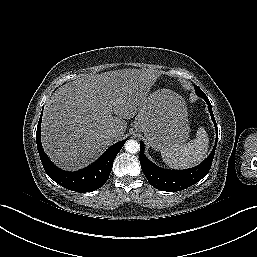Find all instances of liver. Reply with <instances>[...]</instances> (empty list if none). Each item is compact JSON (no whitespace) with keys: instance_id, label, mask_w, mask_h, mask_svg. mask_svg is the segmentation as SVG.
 <instances>
[{"instance_id":"liver-1","label":"liver","mask_w":257,"mask_h":257,"mask_svg":"<svg viewBox=\"0 0 257 257\" xmlns=\"http://www.w3.org/2000/svg\"><path fill=\"white\" fill-rule=\"evenodd\" d=\"M152 70L121 69L88 75L59 87L46 102L42 145L54 164L78 170L94 161L142 107L157 78ZM115 130L116 137H106Z\"/></svg>"}]
</instances>
